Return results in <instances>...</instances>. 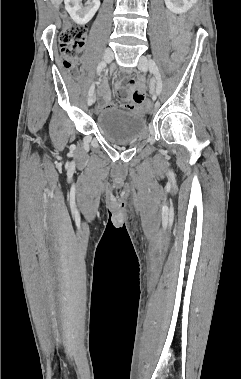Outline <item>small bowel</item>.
Returning a JSON list of instances; mask_svg holds the SVG:
<instances>
[{"instance_id": "1", "label": "small bowel", "mask_w": 241, "mask_h": 379, "mask_svg": "<svg viewBox=\"0 0 241 379\" xmlns=\"http://www.w3.org/2000/svg\"><path fill=\"white\" fill-rule=\"evenodd\" d=\"M168 22L171 26L172 31L174 30H184V19L182 17H176L175 15L169 13L168 14ZM182 39H178V44L180 48H182ZM130 86L126 87L121 81L115 84V88L120 94V96L125 101V105L123 106L129 110L143 111L147 108V105H143L144 95V86L142 83L135 84L134 82H130ZM99 96L100 103L97 106V110L103 108L113 107L110 103V89L105 82H102L99 86Z\"/></svg>"}]
</instances>
